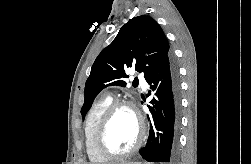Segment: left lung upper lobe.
Wrapping results in <instances>:
<instances>
[{
  "label": "left lung upper lobe",
  "instance_id": "5c2ea615",
  "mask_svg": "<svg viewBox=\"0 0 251 164\" xmlns=\"http://www.w3.org/2000/svg\"><path fill=\"white\" fill-rule=\"evenodd\" d=\"M170 55L169 43L160 26L149 16L129 20L112 43L96 58L85 85V115L98 93L110 85L124 87L125 69L135 67L146 78Z\"/></svg>",
  "mask_w": 251,
  "mask_h": 164
}]
</instances>
